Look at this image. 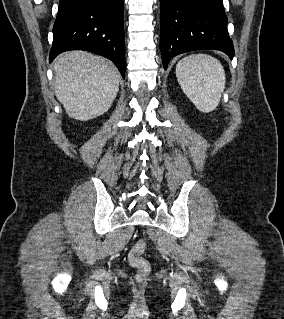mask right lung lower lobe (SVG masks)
<instances>
[{
    "label": "right lung lower lobe",
    "mask_w": 284,
    "mask_h": 319,
    "mask_svg": "<svg viewBox=\"0 0 284 319\" xmlns=\"http://www.w3.org/2000/svg\"><path fill=\"white\" fill-rule=\"evenodd\" d=\"M124 0H60L49 61L87 50L115 63L125 78Z\"/></svg>",
    "instance_id": "obj_1"
}]
</instances>
